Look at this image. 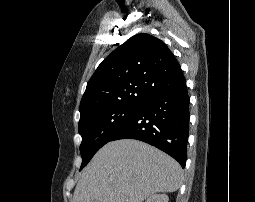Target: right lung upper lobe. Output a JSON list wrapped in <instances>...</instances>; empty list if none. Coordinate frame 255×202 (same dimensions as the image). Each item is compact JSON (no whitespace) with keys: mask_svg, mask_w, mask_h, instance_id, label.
I'll use <instances>...</instances> for the list:
<instances>
[{"mask_svg":"<svg viewBox=\"0 0 255 202\" xmlns=\"http://www.w3.org/2000/svg\"><path fill=\"white\" fill-rule=\"evenodd\" d=\"M186 83L164 42L146 33L132 36L98 66L80 103V118L118 105H142Z\"/></svg>","mask_w":255,"mask_h":202,"instance_id":"cb5924a9","label":"right lung upper lobe"}]
</instances>
